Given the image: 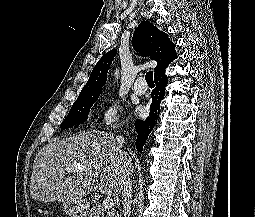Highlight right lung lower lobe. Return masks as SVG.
I'll list each match as a JSON object with an SVG mask.
<instances>
[{
	"instance_id": "obj_1",
	"label": "right lung lower lobe",
	"mask_w": 255,
	"mask_h": 217,
	"mask_svg": "<svg viewBox=\"0 0 255 217\" xmlns=\"http://www.w3.org/2000/svg\"><path fill=\"white\" fill-rule=\"evenodd\" d=\"M156 87L152 91V102L150 105V114L145 121L138 120L135 123L136 132L138 133L136 140V148L139 152L142 151V148L148 138V135L154 128L157 119L160 114V101L165 95V86L167 85V76L164 72L155 76Z\"/></svg>"
}]
</instances>
